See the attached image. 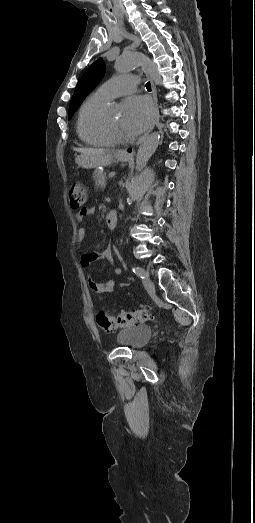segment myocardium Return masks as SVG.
<instances>
[{"label":"myocardium","instance_id":"f54148a6","mask_svg":"<svg viewBox=\"0 0 255 523\" xmlns=\"http://www.w3.org/2000/svg\"><path fill=\"white\" fill-rule=\"evenodd\" d=\"M101 127L116 142H129L132 140L131 137H125L119 133L116 125L106 113L101 118Z\"/></svg>","mask_w":255,"mask_h":523}]
</instances>
